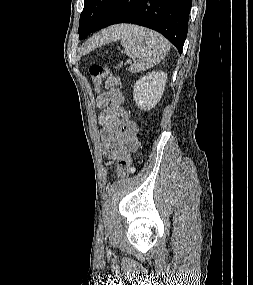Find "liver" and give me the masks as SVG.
<instances>
[{
	"mask_svg": "<svg viewBox=\"0 0 253 285\" xmlns=\"http://www.w3.org/2000/svg\"><path fill=\"white\" fill-rule=\"evenodd\" d=\"M130 27V25H119L102 31L101 34L95 36L94 39L91 41V44H89L88 46V50H91L97 47L98 45H102L107 42L118 39V37Z\"/></svg>",
	"mask_w": 253,
	"mask_h": 285,
	"instance_id": "obj_1",
	"label": "liver"
}]
</instances>
